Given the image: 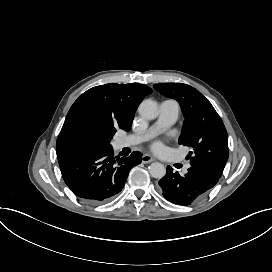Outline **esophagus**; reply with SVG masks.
<instances>
[{
  "label": "esophagus",
  "instance_id": "1",
  "mask_svg": "<svg viewBox=\"0 0 272 272\" xmlns=\"http://www.w3.org/2000/svg\"><path fill=\"white\" fill-rule=\"evenodd\" d=\"M155 159L150 155V154H144L141 157V161L142 163H151L153 162Z\"/></svg>",
  "mask_w": 272,
  "mask_h": 272
}]
</instances>
